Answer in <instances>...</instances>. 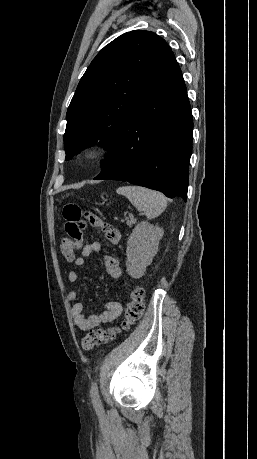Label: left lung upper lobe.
<instances>
[{
  "mask_svg": "<svg viewBox=\"0 0 257 459\" xmlns=\"http://www.w3.org/2000/svg\"><path fill=\"white\" fill-rule=\"evenodd\" d=\"M171 54L164 39L143 30L122 34L97 54L67 110L66 160L98 144L109 151L105 166L122 123Z\"/></svg>",
  "mask_w": 257,
  "mask_h": 459,
  "instance_id": "5c2ea615",
  "label": "left lung upper lobe"
}]
</instances>
